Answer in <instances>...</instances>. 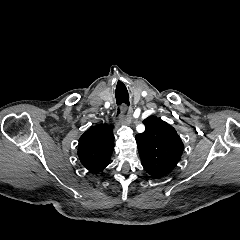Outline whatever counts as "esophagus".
Returning a JSON list of instances; mask_svg holds the SVG:
<instances>
[{
    "label": "esophagus",
    "instance_id": "34e87169",
    "mask_svg": "<svg viewBox=\"0 0 240 240\" xmlns=\"http://www.w3.org/2000/svg\"><path fill=\"white\" fill-rule=\"evenodd\" d=\"M121 118H124L125 123L126 124H130L131 123V118H132V109L131 107H128L126 104H123L121 106Z\"/></svg>",
    "mask_w": 240,
    "mask_h": 240
}]
</instances>
